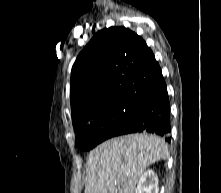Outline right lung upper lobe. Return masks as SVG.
Here are the masks:
<instances>
[{"instance_id":"cb5924a9","label":"right lung upper lobe","mask_w":221,"mask_h":193,"mask_svg":"<svg viewBox=\"0 0 221 193\" xmlns=\"http://www.w3.org/2000/svg\"><path fill=\"white\" fill-rule=\"evenodd\" d=\"M160 75L152 50L136 33L125 27L98 31L72 67L73 126L112 102L145 99Z\"/></svg>"}]
</instances>
